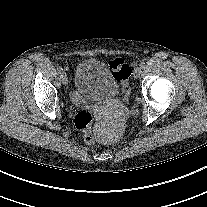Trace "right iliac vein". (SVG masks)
<instances>
[{
    "mask_svg": "<svg viewBox=\"0 0 207 207\" xmlns=\"http://www.w3.org/2000/svg\"><path fill=\"white\" fill-rule=\"evenodd\" d=\"M61 81H62V83H63L64 85L67 84V82H68V77H67L66 73H62V75H61Z\"/></svg>",
    "mask_w": 207,
    "mask_h": 207,
    "instance_id": "obj_1",
    "label": "right iliac vein"
}]
</instances>
